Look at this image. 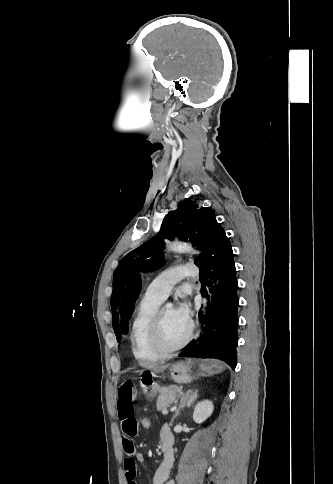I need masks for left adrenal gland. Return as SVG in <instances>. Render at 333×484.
I'll list each match as a JSON object with an SVG mask.
<instances>
[{
  "label": "left adrenal gland",
  "instance_id": "1",
  "mask_svg": "<svg viewBox=\"0 0 333 484\" xmlns=\"http://www.w3.org/2000/svg\"><path fill=\"white\" fill-rule=\"evenodd\" d=\"M198 397V390H188L182 397L180 401V405L178 409L175 412V415L172 417L171 422L175 420V418L180 414L181 409L184 407H191V405L194 404V402L197 400Z\"/></svg>",
  "mask_w": 333,
  "mask_h": 484
}]
</instances>
